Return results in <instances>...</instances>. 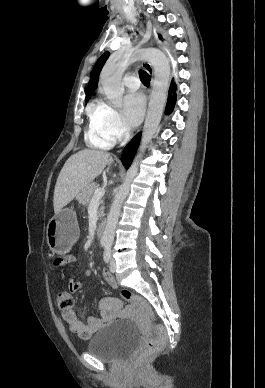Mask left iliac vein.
Returning a JSON list of instances; mask_svg holds the SVG:
<instances>
[{"mask_svg": "<svg viewBox=\"0 0 265 388\" xmlns=\"http://www.w3.org/2000/svg\"><path fill=\"white\" fill-rule=\"evenodd\" d=\"M109 269L112 273H115L116 271V262L114 259H111L110 264H109Z\"/></svg>", "mask_w": 265, "mask_h": 388, "instance_id": "left-iliac-vein-1", "label": "left iliac vein"}]
</instances>
